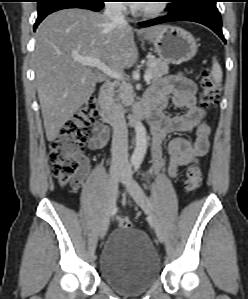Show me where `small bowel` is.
Masks as SVG:
<instances>
[{"mask_svg":"<svg viewBox=\"0 0 248 299\" xmlns=\"http://www.w3.org/2000/svg\"><path fill=\"white\" fill-rule=\"evenodd\" d=\"M196 85L182 74L170 75L154 84L147 93V99L152 104L151 129L153 134L152 161L156 172L165 168L162 157V143L167 135L175 132L191 134L196 132L192 142L187 138H173L168 143L169 164L167 171L170 176H176L178 170L207 154L209 150L210 128L203 121L204 111L196 102ZM175 108L184 110L179 115H167L165 109L169 101ZM109 129L95 123L91 128L89 148L100 150L109 141ZM82 170H88L89 162L82 159Z\"/></svg>","mask_w":248,"mask_h":299,"instance_id":"1","label":"small bowel"}]
</instances>
